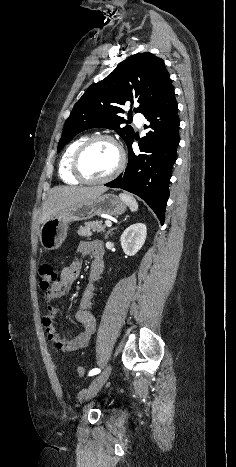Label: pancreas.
Masks as SVG:
<instances>
[{
	"mask_svg": "<svg viewBox=\"0 0 236 467\" xmlns=\"http://www.w3.org/2000/svg\"><path fill=\"white\" fill-rule=\"evenodd\" d=\"M105 226L102 224L101 221H91L85 222L84 226H81L77 231L79 236L90 237L92 236L93 232H104Z\"/></svg>",
	"mask_w": 236,
	"mask_h": 467,
	"instance_id": "obj_1",
	"label": "pancreas"
}]
</instances>
